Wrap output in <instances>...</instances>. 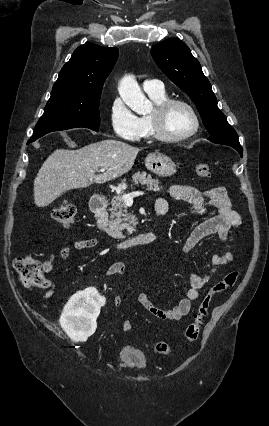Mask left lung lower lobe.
<instances>
[{
	"label": "left lung lower lobe",
	"mask_w": 269,
	"mask_h": 426,
	"mask_svg": "<svg viewBox=\"0 0 269 426\" xmlns=\"http://www.w3.org/2000/svg\"><path fill=\"white\" fill-rule=\"evenodd\" d=\"M231 147H233L235 150H237L239 152V154L241 155V157H242L243 149H242L241 146H231Z\"/></svg>",
	"instance_id": "obj_1"
}]
</instances>
